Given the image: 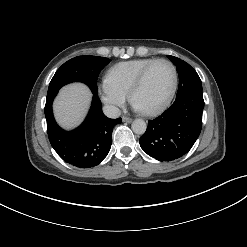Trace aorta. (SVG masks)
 Returning a JSON list of instances; mask_svg holds the SVG:
<instances>
[{"label": "aorta", "instance_id": "aorta-1", "mask_svg": "<svg viewBox=\"0 0 247 247\" xmlns=\"http://www.w3.org/2000/svg\"><path fill=\"white\" fill-rule=\"evenodd\" d=\"M131 127L133 132L136 134H143L147 128L145 121L142 119L134 120Z\"/></svg>", "mask_w": 247, "mask_h": 247}]
</instances>
